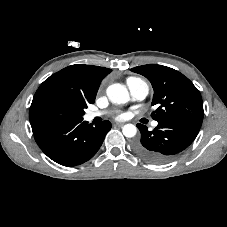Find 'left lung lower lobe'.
<instances>
[{"label": "left lung lower lobe", "mask_w": 227, "mask_h": 227, "mask_svg": "<svg viewBox=\"0 0 227 227\" xmlns=\"http://www.w3.org/2000/svg\"><path fill=\"white\" fill-rule=\"evenodd\" d=\"M137 127L141 132V139L134 143V150L143 159L155 164L172 160L194 141L200 129L179 121H158L157 127L152 131L139 123Z\"/></svg>", "instance_id": "left-lung-lower-lobe-1"}]
</instances>
